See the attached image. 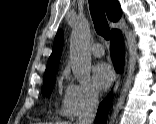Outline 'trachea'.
I'll return each mask as SVG.
<instances>
[{
  "label": "trachea",
  "mask_w": 156,
  "mask_h": 124,
  "mask_svg": "<svg viewBox=\"0 0 156 124\" xmlns=\"http://www.w3.org/2000/svg\"><path fill=\"white\" fill-rule=\"evenodd\" d=\"M90 13L96 32L106 40L110 39V28L99 0H89Z\"/></svg>",
  "instance_id": "trachea-1"
}]
</instances>
